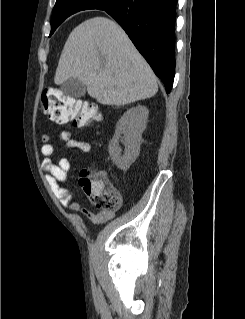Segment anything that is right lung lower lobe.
I'll use <instances>...</instances> for the list:
<instances>
[{
    "instance_id": "98d812e1",
    "label": "right lung lower lobe",
    "mask_w": 245,
    "mask_h": 319,
    "mask_svg": "<svg viewBox=\"0 0 245 319\" xmlns=\"http://www.w3.org/2000/svg\"><path fill=\"white\" fill-rule=\"evenodd\" d=\"M178 0H122L103 9L125 30L170 93L175 75Z\"/></svg>"
}]
</instances>
